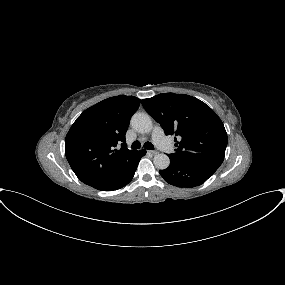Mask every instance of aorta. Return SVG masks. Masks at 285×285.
<instances>
[{
    "label": "aorta",
    "instance_id": "1",
    "mask_svg": "<svg viewBox=\"0 0 285 285\" xmlns=\"http://www.w3.org/2000/svg\"><path fill=\"white\" fill-rule=\"evenodd\" d=\"M130 123L132 128L139 133H149L152 130V121L146 113H135ZM153 162L155 167L160 170H164L170 165L169 157L163 153L155 155Z\"/></svg>",
    "mask_w": 285,
    "mask_h": 285
}]
</instances>
